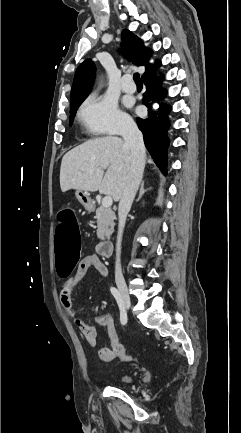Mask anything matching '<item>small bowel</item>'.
<instances>
[{
    "label": "small bowel",
    "mask_w": 241,
    "mask_h": 433,
    "mask_svg": "<svg viewBox=\"0 0 241 433\" xmlns=\"http://www.w3.org/2000/svg\"><path fill=\"white\" fill-rule=\"evenodd\" d=\"M91 268L95 269L103 277L108 276V269L100 257L96 254H88L80 261L74 273L66 278L61 289L60 300L65 312L73 319L74 324L83 334L87 343L90 346L95 347L97 344L95 327L87 324L77 316V311L72 302V293L74 289ZM96 321L100 326L106 328L111 343L110 347H104L99 350V357L105 362L112 361L115 358L112 345L119 341L113 317L110 314H102L97 317Z\"/></svg>",
    "instance_id": "small-bowel-1"
}]
</instances>
